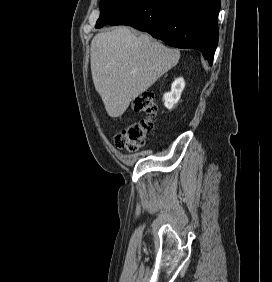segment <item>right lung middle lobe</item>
Returning <instances> with one entry per match:
<instances>
[{"mask_svg": "<svg viewBox=\"0 0 272 282\" xmlns=\"http://www.w3.org/2000/svg\"><path fill=\"white\" fill-rule=\"evenodd\" d=\"M135 1L136 0H101V13L95 27H103Z\"/></svg>", "mask_w": 272, "mask_h": 282, "instance_id": "dd1d6c3e", "label": "right lung middle lobe"}]
</instances>
